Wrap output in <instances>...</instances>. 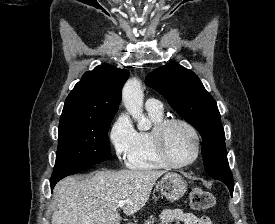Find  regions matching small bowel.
I'll list each match as a JSON object with an SVG mask.
<instances>
[{"mask_svg": "<svg viewBox=\"0 0 275 224\" xmlns=\"http://www.w3.org/2000/svg\"><path fill=\"white\" fill-rule=\"evenodd\" d=\"M159 224H212L208 216H197L179 209H167L160 215Z\"/></svg>", "mask_w": 275, "mask_h": 224, "instance_id": "c3829d8e", "label": "small bowel"}]
</instances>
